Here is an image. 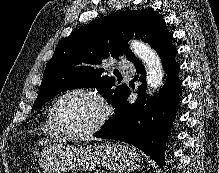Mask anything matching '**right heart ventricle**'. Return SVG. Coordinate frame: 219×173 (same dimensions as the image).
<instances>
[{
    "mask_svg": "<svg viewBox=\"0 0 219 173\" xmlns=\"http://www.w3.org/2000/svg\"><path fill=\"white\" fill-rule=\"evenodd\" d=\"M44 131H45L46 134H48L50 136H60V135H62L52 123V120H51V107L48 109V112H47V115H46Z\"/></svg>",
    "mask_w": 219,
    "mask_h": 173,
    "instance_id": "1",
    "label": "right heart ventricle"
}]
</instances>
